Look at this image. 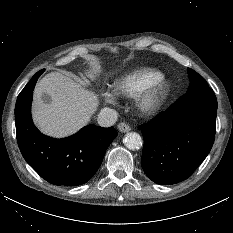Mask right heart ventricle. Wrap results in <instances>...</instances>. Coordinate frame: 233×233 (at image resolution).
Here are the masks:
<instances>
[{
    "instance_id": "1",
    "label": "right heart ventricle",
    "mask_w": 233,
    "mask_h": 233,
    "mask_svg": "<svg viewBox=\"0 0 233 233\" xmlns=\"http://www.w3.org/2000/svg\"><path fill=\"white\" fill-rule=\"evenodd\" d=\"M163 78V73L151 67H138L122 76L115 86V93L135 97L151 84Z\"/></svg>"
}]
</instances>
